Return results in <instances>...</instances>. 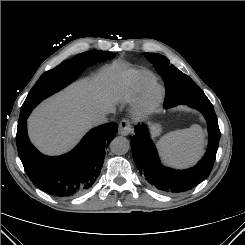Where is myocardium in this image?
Here are the masks:
<instances>
[{
  "label": "myocardium",
  "instance_id": "1",
  "mask_svg": "<svg viewBox=\"0 0 245 245\" xmlns=\"http://www.w3.org/2000/svg\"><path fill=\"white\" fill-rule=\"evenodd\" d=\"M163 100V88L157 84H152L142 94L134 108V113L139 117L148 116L160 108Z\"/></svg>",
  "mask_w": 245,
  "mask_h": 245
}]
</instances>
